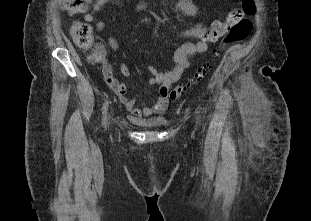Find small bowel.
<instances>
[{"label": "small bowel", "mask_w": 311, "mask_h": 221, "mask_svg": "<svg viewBox=\"0 0 311 221\" xmlns=\"http://www.w3.org/2000/svg\"><path fill=\"white\" fill-rule=\"evenodd\" d=\"M112 0H97L92 8L84 15L86 22H93L96 15L102 10V8ZM147 4L140 6L141 10H146ZM177 9L187 16H195L199 13L198 7L192 2V0H179L177 3ZM96 28L101 31L105 28V24L102 21L96 23ZM205 31L202 22H198L193 28L187 30L184 33L185 37L200 39L202 33ZM108 44L114 52L119 51V44L113 37L108 38ZM97 52L101 56L104 71L108 70L112 72L111 66L107 58V50L103 44H98L96 47ZM207 50V43L203 40L197 42H187L182 44L174 53V65L171 70L160 72L154 65H148L147 70L150 73L148 83L150 85H158V97L157 100L145 108H139L136 105V99L134 97L128 98L126 96V86L124 83L119 82L113 91L125 105L127 110L137 118H147L162 114L165 112L168 106L169 92L172 84L176 82L183 72L188 68L190 59L197 55L204 53ZM120 71L123 76L129 77L131 75L130 68L127 64L121 63Z\"/></svg>", "instance_id": "1"}]
</instances>
